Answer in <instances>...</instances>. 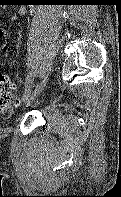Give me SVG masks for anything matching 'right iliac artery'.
Listing matches in <instances>:
<instances>
[{"mask_svg": "<svg viewBox=\"0 0 121 197\" xmlns=\"http://www.w3.org/2000/svg\"><path fill=\"white\" fill-rule=\"evenodd\" d=\"M36 77V72L32 71L27 75V79H26V89H25V94H24V98L25 99L27 96H29L32 88L34 87V80Z\"/></svg>", "mask_w": 121, "mask_h": 197, "instance_id": "1", "label": "right iliac artery"}]
</instances>
